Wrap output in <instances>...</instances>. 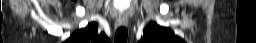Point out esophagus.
Segmentation results:
<instances>
[{
    "instance_id": "esophagus-1",
    "label": "esophagus",
    "mask_w": 256,
    "mask_h": 43,
    "mask_svg": "<svg viewBox=\"0 0 256 43\" xmlns=\"http://www.w3.org/2000/svg\"><path fill=\"white\" fill-rule=\"evenodd\" d=\"M118 25H121V26H124L126 27L127 24H128V17H127V14L125 12H123L119 19H118V22H117Z\"/></svg>"
}]
</instances>
